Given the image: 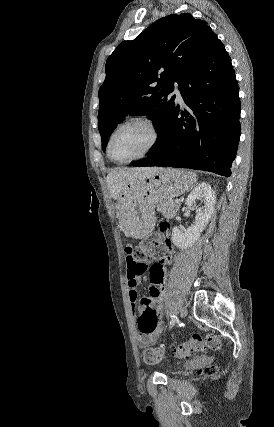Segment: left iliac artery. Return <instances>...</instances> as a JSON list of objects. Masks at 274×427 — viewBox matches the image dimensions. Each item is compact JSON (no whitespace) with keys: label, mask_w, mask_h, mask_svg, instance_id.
Instances as JSON below:
<instances>
[{"label":"left iliac artery","mask_w":274,"mask_h":427,"mask_svg":"<svg viewBox=\"0 0 274 427\" xmlns=\"http://www.w3.org/2000/svg\"><path fill=\"white\" fill-rule=\"evenodd\" d=\"M176 322H178V317L176 315H172L169 322V328H172Z\"/></svg>","instance_id":"1"}]
</instances>
